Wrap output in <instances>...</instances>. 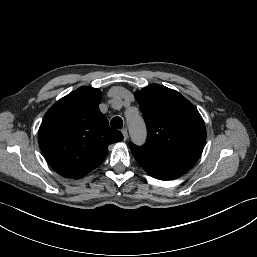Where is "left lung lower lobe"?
I'll use <instances>...</instances> for the list:
<instances>
[{
	"instance_id": "obj_1",
	"label": "left lung lower lobe",
	"mask_w": 257,
	"mask_h": 257,
	"mask_svg": "<svg viewBox=\"0 0 257 257\" xmlns=\"http://www.w3.org/2000/svg\"><path fill=\"white\" fill-rule=\"evenodd\" d=\"M143 169L152 177L160 180L175 179L188 171V170H182V169L166 170V169H157V168H150V167H143Z\"/></svg>"
}]
</instances>
